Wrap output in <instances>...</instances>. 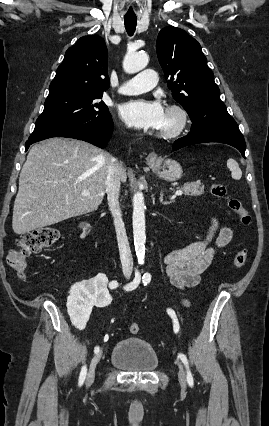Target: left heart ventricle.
Wrapping results in <instances>:
<instances>
[{"label":"left heart ventricle","instance_id":"obj_1","mask_svg":"<svg viewBox=\"0 0 269 426\" xmlns=\"http://www.w3.org/2000/svg\"><path fill=\"white\" fill-rule=\"evenodd\" d=\"M173 124H174V118L166 112L165 120L160 130H165L167 128H170Z\"/></svg>","mask_w":269,"mask_h":426}]
</instances>
